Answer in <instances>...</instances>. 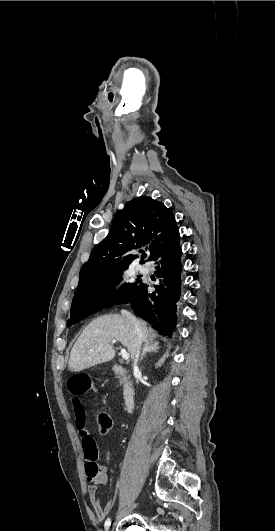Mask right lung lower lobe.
Returning a JSON list of instances; mask_svg holds the SVG:
<instances>
[{
  "label": "right lung lower lobe",
  "instance_id": "1",
  "mask_svg": "<svg viewBox=\"0 0 275 531\" xmlns=\"http://www.w3.org/2000/svg\"><path fill=\"white\" fill-rule=\"evenodd\" d=\"M181 254L177 227L149 259L157 265L155 275L160 280L154 285L155 291L140 281L123 302L130 304L137 316L165 336H171L176 325V303L181 294Z\"/></svg>",
  "mask_w": 275,
  "mask_h": 531
}]
</instances>
